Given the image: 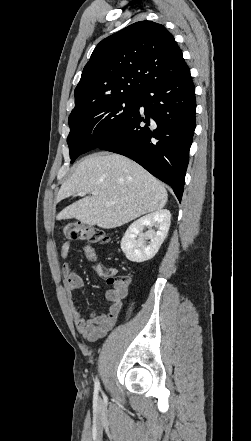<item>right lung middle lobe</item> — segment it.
Instances as JSON below:
<instances>
[{
	"mask_svg": "<svg viewBox=\"0 0 251 441\" xmlns=\"http://www.w3.org/2000/svg\"><path fill=\"white\" fill-rule=\"evenodd\" d=\"M140 95H120L92 101L69 116L67 138L71 163L117 134L137 111Z\"/></svg>",
	"mask_w": 251,
	"mask_h": 441,
	"instance_id": "1",
	"label": "right lung middle lobe"
}]
</instances>
